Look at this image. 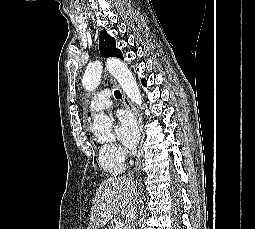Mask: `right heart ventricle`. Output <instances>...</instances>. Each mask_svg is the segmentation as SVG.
Segmentation results:
<instances>
[{"mask_svg":"<svg viewBox=\"0 0 255 229\" xmlns=\"http://www.w3.org/2000/svg\"><path fill=\"white\" fill-rule=\"evenodd\" d=\"M98 161L103 170L107 173L117 175L124 171V162L113 160L107 150V145H100L98 149Z\"/></svg>","mask_w":255,"mask_h":229,"instance_id":"1","label":"right heart ventricle"}]
</instances>
